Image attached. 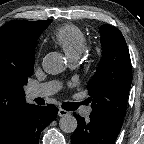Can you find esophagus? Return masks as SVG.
I'll return each instance as SVG.
<instances>
[{
	"mask_svg": "<svg viewBox=\"0 0 144 144\" xmlns=\"http://www.w3.org/2000/svg\"><path fill=\"white\" fill-rule=\"evenodd\" d=\"M68 114H69V112L66 111V110H64V109H62V108H60V109L58 110V116H60V117L67 116Z\"/></svg>",
	"mask_w": 144,
	"mask_h": 144,
	"instance_id": "obj_1",
	"label": "esophagus"
}]
</instances>
